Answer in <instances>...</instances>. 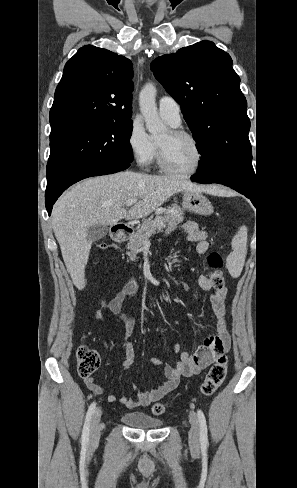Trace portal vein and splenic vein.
Returning a JSON list of instances; mask_svg holds the SVG:
<instances>
[{"label": "portal vein and splenic vein", "mask_w": 297, "mask_h": 488, "mask_svg": "<svg viewBox=\"0 0 297 488\" xmlns=\"http://www.w3.org/2000/svg\"><path fill=\"white\" fill-rule=\"evenodd\" d=\"M138 201L137 198H131V199H128L126 201V206L129 207V206H132L133 204H135L136 202ZM161 210H166V209H161ZM157 224H162L161 221H157Z\"/></svg>", "instance_id": "obj_1"}]
</instances>
